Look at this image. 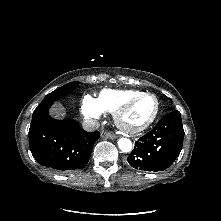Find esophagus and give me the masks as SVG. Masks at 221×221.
<instances>
[{
  "instance_id": "esophagus-1",
  "label": "esophagus",
  "mask_w": 221,
  "mask_h": 221,
  "mask_svg": "<svg viewBox=\"0 0 221 221\" xmlns=\"http://www.w3.org/2000/svg\"><path fill=\"white\" fill-rule=\"evenodd\" d=\"M101 137L106 138V139H115L116 135H114L113 133L107 132V131H102Z\"/></svg>"
}]
</instances>
